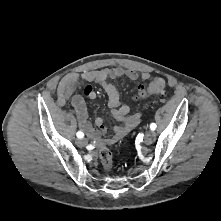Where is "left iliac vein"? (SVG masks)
<instances>
[{
  "instance_id": "left-iliac-vein-1",
  "label": "left iliac vein",
  "mask_w": 221,
  "mask_h": 221,
  "mask_svg": "<svg viewBox=\"0 0 221 221\" xmlns=\"http://www.w3.org/2000/svg\"><path fill=\"white\" fill-rule=\"evenodd\" d=\"M156 138V133L154 131H149L145 137H144V142L146 144H151Z\"/></svg>"
}]
</instances>
